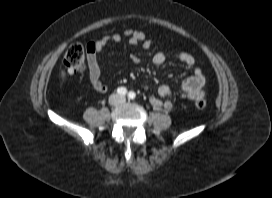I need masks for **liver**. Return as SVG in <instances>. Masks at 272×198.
Masks as SVG:
<instances>
[{
    "mask_svg": "<svg viewBox=\"0 0 272 198\" xmlns=\"http://www.w3.org/2000/svg\"><path fill=\"white\" fill-rule=\"evenodd\" d=\"M61 76H62L63 79L66 78V74H65V72L63 70L61 71Z\"/></svg>",
    "mask_w": 272,
    "mask_h": 198,
    "instance_id": "6515ba94",
    "label": "liver"
}]
</instances>
